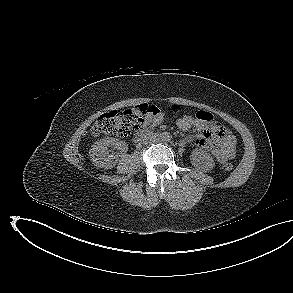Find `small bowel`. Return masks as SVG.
<instances>
[{
    "instance_id": "1",
    "label": "small bowel",
    "mask_w": 293,
    "mask_h": 293,
    "mask_svg": "<svg viewBox=\"0 0 293 293\" xmlns=\"http://www.w3.org/2000/svg\"><path fill=\"white\" fill-rule=\"evenodd\" d=\"M136 109L143 115V124L146 127L157 126L165 118L163 112L155 105L144 103L137 106ZM199 112L210 115L211 120L207 121L198 117ZM199 112L195 117L186 115L178 119V127L183 131L194 127L197 133L189 140L195 141L200 148L210 151L218 162L224 163L233 159L236 154L235 137L218 123L212 114L205 111Z\"/></svg>"
}]
</instances>
